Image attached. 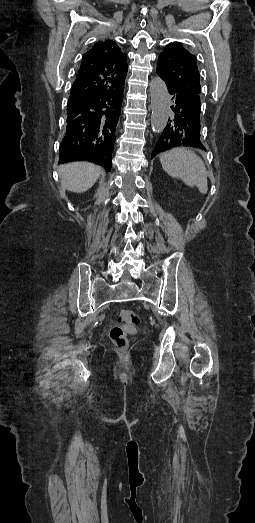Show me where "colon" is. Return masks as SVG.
Here are the masks:
<instances>
[{
  "label": "colon",
  "mask_w": 255,
  "mask_h": 523,
  "mask_svg": "<svg viewBox=\"0 0 255 523\" xmlns=\"http://www.w3.org/2000/svg\"><path fill=\"white\" fill-rule=\"evenodd\" d=\"M117 321L122 325H135L139 323V317L131 310L123 309L117 314ZM110 338L116 347L125 349L128 345V336L123 326H114L110 330Z\"/></svg>",
  "instance_id": "1"
}]
</instances>
